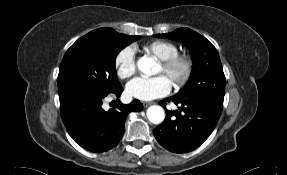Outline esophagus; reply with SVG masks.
Wrapping results in <instances>:
<instances>
[{
	"label": "esophagus",
	"instance_id": "obj_1",
	"mask_svg": "<svg viewBox=\"0 0 287 175\" xmlns=\"http://www.w3.org/2000/svg\"><path fill=\"white\" fill-rule=\"evenodd\" d=\"M153 104V102H143V106L146 108V107H148V106H150V105H152Z\"/></svg>",
	"mask_w": 287,
	"mask_h": 175
}]
</instances>
